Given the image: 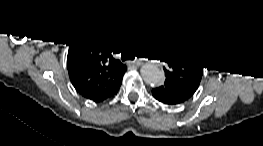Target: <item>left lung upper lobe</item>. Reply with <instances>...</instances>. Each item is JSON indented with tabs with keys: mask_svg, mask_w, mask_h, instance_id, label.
<instances>
[{
	"mask_svg": "<svg viewBox=\"0 0 263 146\" xmlns=\"http://www.w3.org/2000/svg\"><path fill=\"white\" fill-rule=\"evenodd\" d=\"M148 49L151 56L167 63V68H164L166 81L173 82L192 96L203 74V62L196 50L175 32L157 35Z\"/></svg>",
	"mask_w": 263,
	"mask_h": 146,
	"instance_id": "5c2ea615",
	"label": "left lung upper lobe"
}]
</instances>
